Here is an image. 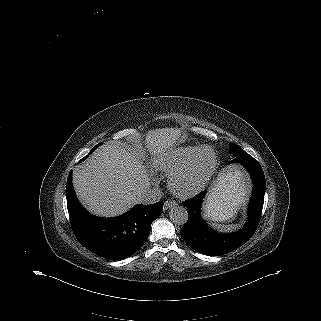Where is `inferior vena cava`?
Segmentation results:
<instances>
[{
    "label": "inferior vena cava",
    "mask_w": 321,
    "mask_h": 321,
    "mask_svg": "<svg viewBox=\"0 0 321 321\" xmlns=\"http://www.w3.org/2000/svg\"><path fill=\"white\" fill-rule=\"evenodd\" d=\"M162 198V191L158 188H148L140 197V203L149 205L160 201Z\"/></svg>",
    "instance_id": "obj_1"
}]
</instances>
